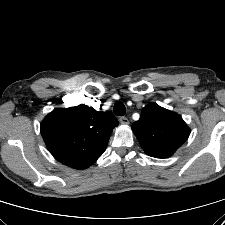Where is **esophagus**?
Here are the masks:
<instances>
[{"instance_id": "1", "label": "esophagus", "mask_w": 225, "mask_h": 225, "mask_svg": "<svg viewBox=\"0 0 225 225\" xmlns=\"http://www.w3.org/2000/svg\"><path fill=\"white\" fill-rule=\"evenodd\" d=\"M119 121H120V123L123 124V125H128V124H129L128 118H127V117H124V116L120 117V118H119Z\"/></svg>"}]
</instances>
